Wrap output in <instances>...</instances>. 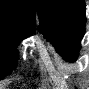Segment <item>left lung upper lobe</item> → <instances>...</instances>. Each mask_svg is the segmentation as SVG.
Instances as JSON below:
<instances>
[{
  "label": "left lung upper lobe",
  "mask_w": 89,
  "mask_h": 89,
  "mask_svg": "<svg viewBox=\"0 0 89 89\" xmlns=\"http://www.w3.org/2000/svg\"><path fill=\"white\" fill-rule=\"evenodd\" d=\"M42 30L67 61L78 57L84 36L86 5L84 0H33Z\"/></svg>",
  "instance_id": "obj_1"
}]
</instances>
